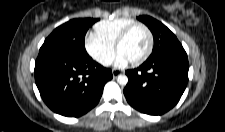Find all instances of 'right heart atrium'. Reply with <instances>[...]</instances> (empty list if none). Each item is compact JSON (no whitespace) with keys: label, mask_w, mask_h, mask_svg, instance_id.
Returning <instances> with one entry per match:
<instances>
[{"label":"right heart atrium","mask_w":225,"mask_h":132,"mask_svg":"<svg viewBox=\"0 0 225 132\" xmlns=\"http://www.w3.org/2000/svg\"><path fill=\"white\" fill-rule=\"evenodd\" d=\"M84 46L88 55L100 65L108 66L112 62L114 46L102 42L95 35H88Z\"/></svg>","instance_id":"right-heart-atrium-1"}]
</instances>
